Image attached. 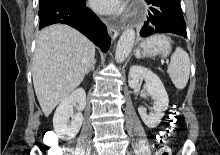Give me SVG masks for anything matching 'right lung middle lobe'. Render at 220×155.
<instances>
[{"label":"right lung middle lobe","mask_w":220,"mask_h":155,"mask_svg":"<svg viewBox=\"0 0 220 155\" xmlns=\"http://www.w3.org/2000/svg\"><path fill=\"white\" fill-rule=\"evenodd\" d=\"M61 0H40L39 1V8L45 7L47 5L53 4L55 2H59Z\"/></svg>","instance_id":"dd1d6c3e"}]
</instances>
